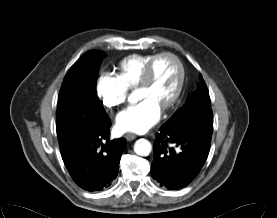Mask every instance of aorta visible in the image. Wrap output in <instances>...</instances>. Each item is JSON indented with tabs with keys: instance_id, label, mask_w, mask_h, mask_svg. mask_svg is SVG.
<instances>
[{
	"instance_id": "aorta-1",
	"label": "aorta",
	"mask_w": 277,
	"mask_h": 218,
	"mask_svg": "<svg viewBox=\"0 0 277 218\" xmlns=\"http://www.w3.org/2000/svg\"><path fill=\"white\" fill-rule=\"evenodd\" d=\"M151 143L146 139H139L134 144V152L139 156H147L151 152Z\"/></svg>"
}]
</instances>
